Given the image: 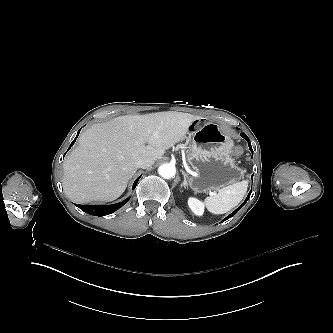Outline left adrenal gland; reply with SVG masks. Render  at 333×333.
<instances>
[{
	"label": "left adrenal gland",
	"instance_id": "left-adrenal-gland-1",
	"mask_svg": "<svg viewBox=\"0 0 333 333\" xmlns=\"http://www.w3.org/2000/svg\"><path fill=\"white\" fill-rule=\"evenodd\" d=\"M182 174L184 175V182L183 184L181 185V188H184L185 190L188 189V185H187V182H186V172L185 170H182Z\"/></svg>",
	"mask_w": 333,
	"mask_h": 333
}]
</instances>
